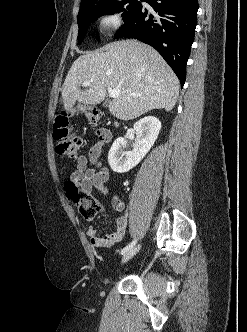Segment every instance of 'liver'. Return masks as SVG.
Listing matches in <instances>:
<instances>
[{"label":"liver","mask_w":247,"mask_h":332,"mask_svg":"<svg viewBox=\"0 0 247 332\" xmlns=\"http://www.w3.org/2000/svg\"><path fill=\"white\" fill-rule=\"evenodd\" d=\"M85 81L92 83L88 89L81 90ZM107 87L121 92L109 103L110 113L120 120H132L153 109L171 111L180 84L152 47L137 40L116 41L73 62L61 88L64 110H71L76 101L90 105L101 103Z\"/></svg>","instance_id":"obj_1"}]
</instances>
